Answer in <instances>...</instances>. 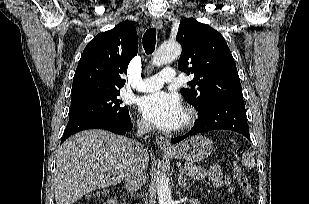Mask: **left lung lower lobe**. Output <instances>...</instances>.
I'll use <instances>...</instances> for the list:
<instances>
[{"instance_id": "left-lung-lower-lobe-1", "label": "left lung lower lobe", "mask_w": 309, "mask_h": 204, "mask_svg": "<svg viewBox=\"0 0 309 204\" xmlns=\"http://www.w3.org/2000/svg\"><path fill=\"white\" fill-rule=\"evenodd\" d=\"M226 129L238 132L250 139L243 99H229L215 102L198 112L195 126L185 135L175 137L172 142L211 130Z\"/></svg>"}]
</instances>
